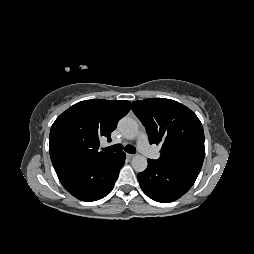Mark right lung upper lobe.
Here are the masks:
<instances>
[{
  "label": "right lung upper lobe",
  "instance_id": "obj_1",
  "mask_svg": "<svg viewBox=\"0 0 254 254\" xmlns=\"http://www.w3.org/2000/svg\"><path fill=\"white\" fill-rule=\"evenodd\" d=\"M131 107L127 100L92 99L78 102L64 111L50 131L52 164L71 159H99L111 154L99 152L100 139L116 129Z\"/></svg>",
  "mask_w": 254,
  "mask_h": 254
}]
</instances>
